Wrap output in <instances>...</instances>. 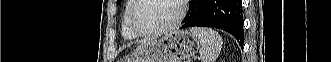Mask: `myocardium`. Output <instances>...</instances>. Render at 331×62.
Listing matches in <instances>:
<instances>
[{"mask_svg":"<svg viewBox=\"0 0 331 62\" xmlns=\"http://www.w3.org/2000/svg\"><path fill=\"white\" fill-rule=\"evenodd\" d=\"M143 1L144 0H134V4L132 6V9H131L130 15H129V22H130L131 28L139 36L151 37V36L160 35V34L169 32L180 25V23L184 17V14H185V4H184L185 1L174 0V1H176L177 5H178V15L173 22H171L170 24H168L164 27L154 29V30H146V29L141 28L136 21V12L139 9V7L141 6Z\"/></svg>","mask_w":331,"mask_h":62,"instance_id":"f54148a6","label":"myocardium"}]
</instances>
